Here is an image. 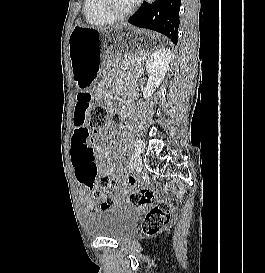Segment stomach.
<instances>
[{"label":"stomach","instance_id":"1","mask_svg":"<svg viewBox=\"0 0 265 273\" xmlns=\"http://www.w3.org/2000/svg\"><path fill=\"white\" fill-rule=\"evenodd\" d=\"M164 45L150 30H136L128 26L97 29L75 25L69 37V56L72 74L80 86L90 85L95 78H106L118 64H136L141 56H152V51ZM126 49L127 51H122Z\"/></svg>","mask_w":265,"mask_h":273}]
</instances>
